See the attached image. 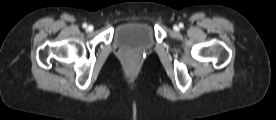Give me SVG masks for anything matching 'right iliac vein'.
<instances>
[{
	"instance_id": "1",
	"label": "right iliac vein",
	"mask_w": 276,
	"mask_h": 120,
	"mask_svg": "<svg viewBox=\"0 0 276 120\" xmlns=\"http://www.w3.org/2000/svg\"><path fill=\"white\" fill-rule=\"evenodd\" d=\"M93 29H94V27L92 25H89L87 28L88 31H93Z\"/></svg>"
}]
</instances>
